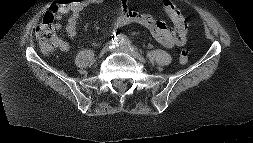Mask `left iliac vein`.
<instances>
[{
    "instance_id": "obj_1",
    "label": "left iliac vein",
    "mask_w": 253,
    "mask_h": 143,
    "mask_svg": "<svg viewBox=\"0 0 253 143\" xmlns=\"http://www.w3.org/2000/svg\"><path fill=\"white\" fill-rule=\"evenodd\" d=\"M114 51H122L125 53L130 54L132 57H134L135 59L139 60L142 63H145V59L141 56V54L132 47H120V48H114Z\"/></svg>"
}]
</instances>
